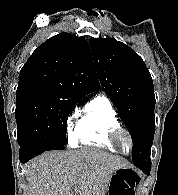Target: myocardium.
<instances>
[{"mask_svg": "<svg viewBox=\"0 0 178 195\" xmlns=\"http://www.w3.org/2000/svg\"><path fill=\"white\" fill-rule=\"evenodd\" d=\"M126 135L127 138L129 139L130 142V150L125 152L122 147H121V139L122 136ZM109 138L111 140V142L116 146V148L123 154H129L130 152H132L133 148H134V137L132 135V133L127 129L120 126L114 127L109 134Z\"/></svg>", "mask_w": 178, "mask_h": 195, "instance_id": "myocardium-1", "label": "myocardium"}]
</instances>
